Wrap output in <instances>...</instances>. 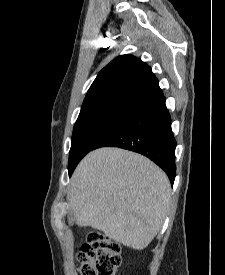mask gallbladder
Here are the masks:
<instances>
[{
    "instance_id": "1",
    "label": "gallbladder",
    "mask_w": 225,
    "mask_h": 275,
    "mask_svg": "<svg viewBox=\"0 0 225 275\" xmlns=\"http://www.w3.org/2000/svg\"><path fill=\"white\" fill-rule=\"evenodd\" d=\"M74 217H75L74 212H73V210L70 208V209H69V212H68V221H69L70 224L73 223Z\"/></svg>"
}]
</instances>
